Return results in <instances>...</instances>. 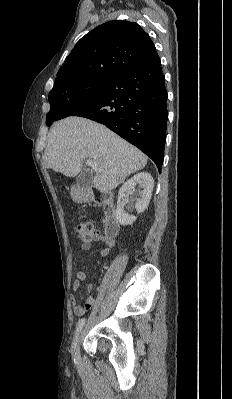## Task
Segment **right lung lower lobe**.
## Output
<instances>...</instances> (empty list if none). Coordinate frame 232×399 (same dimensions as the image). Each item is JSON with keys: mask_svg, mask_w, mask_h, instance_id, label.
Returning a JSON list of instances; mask_svg holds the SVG:
<instances>
[{"mask_svg": "<svg viewBox=\"0 0 232 399\" xmlns=\"http://www.w3.org/2000/svg\"><path fill=\"white\" fill-rule=\"evenodd\" d=\"M164 82L155 52L110 77L95 97L68 106L55 121L79 116L102 123L149 156L160 172L168 119Z\"/></svg>", "mask_w": 232, "mask_h": 399, "instance_id": "obj_1", "label": "right lung lower lobe"}]
</instances>
